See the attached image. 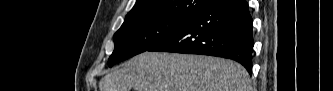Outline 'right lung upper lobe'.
Here are the masks:
<instances>
[{
    "mask_svg": "<svg viewBox=\"0 0 333 91\" xmlns=\"http://www.w3.org/2000/svg\"><path fill=\"white\" fill-rule=\"evenodd\" d=\"M205 0H137L125 21L153 15H173L195 17L205 7Z\"/></svg>",
    "mask_w": 333,
    "mask_h": 91,
    "instance_id": "1",
    "label": "right lung upper lobe"
}]
</instances>
